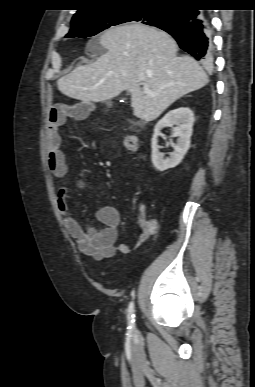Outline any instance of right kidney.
Wrapping results in <instances>:
<instances>
[{
	"label": "right kidney",
	"instance_id": "ca27d5eb",
	"mask_svg": "<svg viewBox=\"0 0 255 387\" xmlns=\"http://www.w3.org/2000/svg\"><path fill=\"white\" fill-rule=\"evenodd\" d=\"M194 123V114L187 107H180L169 111L155 126L151 141L152 163L158 171H165L176 167L190 147V138L192 136V127ZM175 126V127H174ZM164 127H172L174 137H178L176 143L171 140V146L174 151L170 157L164 159V153L159 152L158 136Z\"/></svg>",
	"mask_w": 255,
	"mask_h": 387
}]
</instances>
